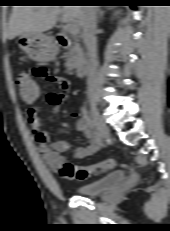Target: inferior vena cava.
I'll list each match as a JSON object with an SVG mask.
<instances>
[{
	"instance_id": "602c4592",
	"label": "inferior vena cava",
	"mask_w": 170,
	"mask_h": 231,
	"mask_svg": "<svg viewBox=\"0 0 170 231\" xmlns=\"http://www.w3.org/2000/svg\"><path fill=\"white\" fill-rule=\"evenodd\" d=\"M96 6H82L81 23L83 27V40L89 57L88 72V92L93 93L96 88L97 81V43H96Z\"/></svg>"
}]
</instances>
